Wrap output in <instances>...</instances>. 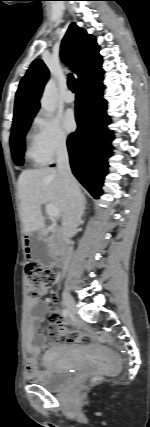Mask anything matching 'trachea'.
I'll list each match as a JSON object with an SVG mask.
<instances>
[{
  "mask_svg": "<svg viewBox=\"0 0 150 427\" xmlns=\"http://www.w3.org/2000/svg\"><path fill=\"white\" fill-rule=\"evenodd\" d=\"M68 86L72 92H76V80L71 74L68 76Z\"/></svg>",
  "mask_w": 150,
  "mask_h": 427,
  "instance_id": "trachea-1",
  "label": "trachea"
}]
</instances>
